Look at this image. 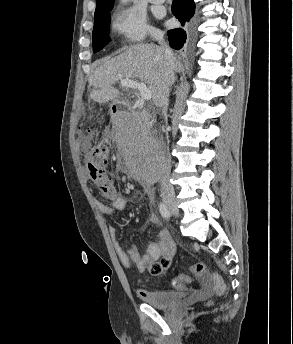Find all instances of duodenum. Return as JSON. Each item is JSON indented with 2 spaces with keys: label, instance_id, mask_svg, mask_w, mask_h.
Segmentation results:
<instances>
[{
  "label": "duodenum",
  "instance_id": "obj_1",
  "mask_svg": "<svg viewBox=\"0 0 293 344\" xmlns=\"http://www.w3.org/2000/svg\"><path fill=\"white\" fill-rule=\"evenodd\" d=\"M123 110H124V108H120V109L114 111V112L112 113V115H113L114 117H116V116H117L119 113H121ZM140 117H141L142 119H144V120H148V115L145 114V113H141V114H140Z\"/></svg>",
  "mask_w": 293,
  "mask_h": 344
}]
</instances>
